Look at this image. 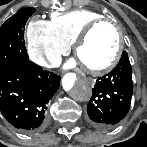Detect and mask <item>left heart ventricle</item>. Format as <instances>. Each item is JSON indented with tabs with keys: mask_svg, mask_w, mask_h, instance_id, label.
I'll list each match as a JSON object with an SVG mask.
<instances>
[{
	"mask_svg": "<svg viewBox=\"0 0 147 147\" xmlns=\"http://www.w3.org/2000/svg\"><path fill=\"white\" fill-rule=\"evenodd\" d=\"M117 42L118 36L114 28L108 25L97 27L80 48L77 58L81 65H104L113 56Z\"/></svg>",
	"mask_w": 147,
	"mask_h": 147,
	"instance_id": "1",
	"label": "left heart ventricle"
}]
</instances>
